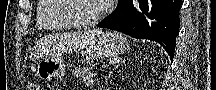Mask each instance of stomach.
<instances>
[{"label": "stomach", "instance_id": "1", "mask_svg": "<svg viewBox=\"0 0 216 90\" xmlns=\"http://www.w3.org/2000/svg\"><path fill=\"white\" fill-rule=\"evenodd\" d=\"M126 39L117 32L106 31L98 36L92 44L85 48V56L91 60L112 58L127 51ZM65 74L62 59H45L39 62L37 76L42 80L51 81Z\"/></svg>", "mask_w": 216, "mask_h": 90}]
</instances>
